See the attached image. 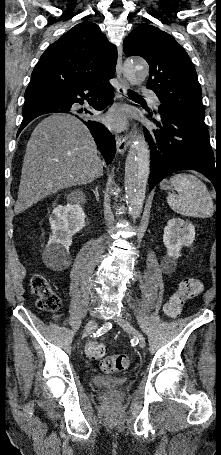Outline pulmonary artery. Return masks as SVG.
<instances>
[{"instance_id": "e3ab8cb5", "label": "pulmonary artery", "mask_w": 221, "mask_h": 455, "mask_svg": "<svg viewBox=\"0 0 221 455\" xmlns=\"http://www.w3.org/2000/svg\"><path fill=\"white\" fill-rule=\"evenodd\" d=\"M142 94H143L144 96H148V97H149V96H153V92H152L150 89H147V88H142ZM154 104H155L156 106H158V105H159V102L156 100V101H154Z\"/></svg>"}]
</instances>
